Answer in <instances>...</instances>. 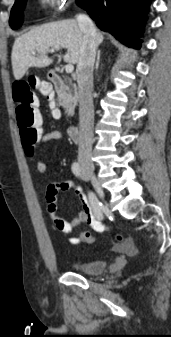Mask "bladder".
<instances>
[{
    "label": "bladder",
    "instance_id": "obj_1",
    "mask_svg": "<svg viewBox=\"0 0 171 337\" xmlns=\"http://www.w3.org/2000/svg\"><path fill=\"white\" fill-rule=\"evenodd\" d=\"M71 267L82 274L95 276L102 274L106 267L104 260H87L71 263Z\"/></svg>",
    "mask_w": 171,
    "mask_h": 337
}]
</instances>
